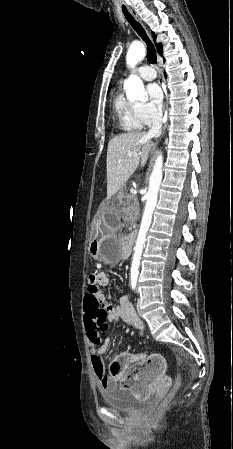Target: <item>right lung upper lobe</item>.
I'll return each instance as SVG.
<instances>
[{
  "mask_svg": "<svg viewBox=\"0 0 233 449\" xmlns=\"http://www.w3.org/2000/svg\"><path fill=\"white\" fill-rule=\"evenodd\" d=\"M152 36H153V39L155 40L156 39L155 33H152ZM157 50H158V53L161 55L162 54V45L161 44L157 45ZM109 91H110V87H109Z\"/></svg>",
  "mask_w": 233,
  "mask_h": 449,
  "instance_id": "1",
  "label": "right lung upper lobe"
}]
</instances>
